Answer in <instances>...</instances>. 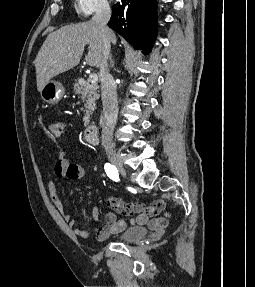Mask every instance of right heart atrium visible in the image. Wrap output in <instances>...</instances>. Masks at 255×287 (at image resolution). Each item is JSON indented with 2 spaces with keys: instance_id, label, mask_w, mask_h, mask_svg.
<instances>
[{
  "instance_id": "1",
  "label": "right heart atrium",
  "mask_w": 255,
  "mask_h": 287,
  "mask_svg": "<svg viewBox=\"0 0 255 287\" xmlns=\"http://www.w3.org/2000/svg\"><path fill=\"white\" fill-rule=\"evenodd\" d=\"M63 48H84V47H63Z\"/></svg>"
}]
</instances>
